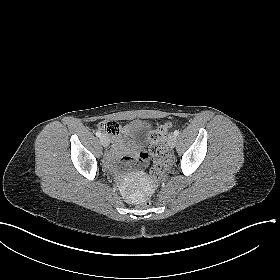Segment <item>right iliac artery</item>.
Listing matches in <instances>:
<instances>
[{
	"mask_svg": "<svg viewBox=\"0 0 280 280\" xmlns=\"http://www.w3.org/2000/svg\"><path fill=\"white\" fill-rule=\"evenodd\" d=\"M96 136L97 137H101V132L100 131H96Z\"/></svg>",
	"mask_w": 280,
	"mask_h": 280,
	"instance_id": "1",
	"label": "right iliac artery"
}]
</instances>
